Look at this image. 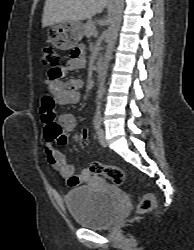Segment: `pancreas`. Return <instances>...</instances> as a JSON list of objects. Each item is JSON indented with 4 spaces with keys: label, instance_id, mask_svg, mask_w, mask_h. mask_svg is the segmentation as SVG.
Here are the masks:
<instances>
[{
    "label": "pancreas",
    "instance_id": "1",
    "mask_svg": "<svg viewBox=\"0 0 194 250\" xmlns=\"http://www.w3.org/2000/svg\"><path fill=\"white\" fill-rule=\"evenodd\" d=\"M95 22L92 20H88L85 24H84V35L86 37H91L92 35H94V32L96 31V26H95Z\"/></svg>",
    "mask_w": 194,
    "mask_h": 250
}]
</instances>
